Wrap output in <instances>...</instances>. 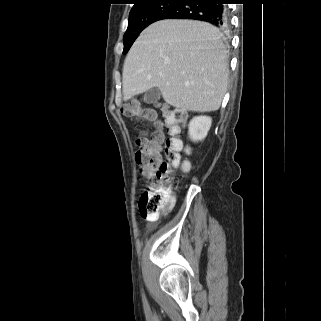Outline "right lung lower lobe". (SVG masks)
Returning <instances> with one entry per match:
<instances>
[{"label": "right lung lower lobe", "instance_id": "1", "mask_svg": "<svg viewBox=\"0 0 321 321\" xmlns=\"http://www.w3.org/2000/svg\"><path fill=\"white\" fill-rule=\"evenodd\" d=\"M228 0H179L177 4L162 14V19H194L209 22L224 29L228 26Z\"/></svg>", "mask_w": 321, "mask_h": 321}]
</instances>
